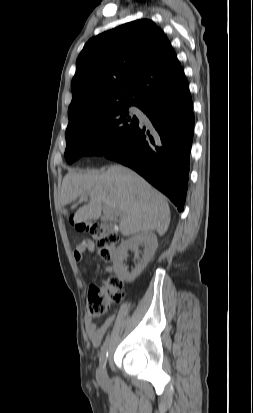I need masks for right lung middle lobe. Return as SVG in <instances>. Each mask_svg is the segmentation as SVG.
<instances>
[{"label": "right lung middle lobe", "mask_w": 253, "mask_h": 413, "mask_svg": "<svg viewBox=\"0 0 253 413\" xmlns=\"http://www.w3.org/2000/svg\"><path fill=\"white\" fill-rule=\"evenodd\" d=\"M129 106L107 107L69 121L67 162L71 164L83 155H103L120 143L139 125V120L128 114Z\"/></svg>", "instance_id": "1"}]
</instances>
